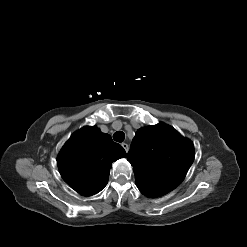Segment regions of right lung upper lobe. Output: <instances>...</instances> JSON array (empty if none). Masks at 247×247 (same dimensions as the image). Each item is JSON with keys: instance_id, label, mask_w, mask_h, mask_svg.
<instances>
[{"instance_id": "right-lung-upper-lobe-1", "label": "right lung upper lobe", "mask_w": 247, "mask_h": 247, "mask_svg": "<svg viewBox=\"0 0 247 247\" xmlns=\"http://www.w3.org/2000/svg\"><path fill=\"white\" fill-rule=\"evenodd\" d=\"M126 157L123 147L97 127H83L61 149L57 164L64 181L83 196L107 184L112 162Z\"/></svg>"}]
</instances>
